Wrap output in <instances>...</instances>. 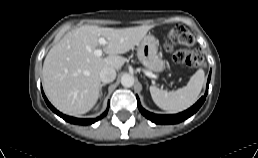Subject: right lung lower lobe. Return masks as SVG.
<instances>
[{
    "label": "right lung lower lobe",
    "mask_w": 258,
    "mask_h": 158,
    "mask_svg": "<svg viewBox=\"0 0 258 158\" xmlns=\"http://www.w3.org/2000/svg\"><path fill=\"white\" fill-rule=\"evenodd\" d=\"M42 95L44 97V100L46 102V104L50 107V109L55 112L58 116H60L61 118H63L65 121L69 122V123H73V124H80V125H87V124H93L96 121L100 120L101 118L104 117L105 114H107L108 109L99 117L94 118V119H78V118H74V117H70V116H66L62 113H60L59 111H57L51 104L50 102L47 100L43 90H42Z\"/></svg>",
    "instance_id": "right-lung-lower-lobe-1"
}]
</instances>
